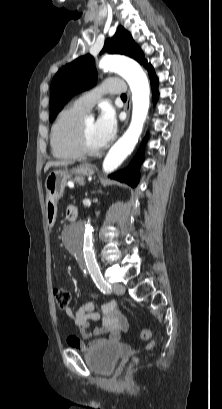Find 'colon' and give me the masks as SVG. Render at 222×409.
I'll use <instances>...</instances> for the list:
<instances>
[{
  "mask_svg": "<svg viewBox=\"0 0 222 409\" xmlns=\"http://www.w3.org/2000/svg\"><path fill=\"white\" fill-rule=\"evenodd\" d=\"M54 297H55L56 304L60 309H66L68 307L69 302H70V293L68 291L61 289V288H56L54 289ZM150 336H151V332L148 328H144L140 333V337L143 340H148ZM154 345H155V340H152L149 343L148 348L152 349ZM137 363H138V359L134 357L130 361V366H134Z\"/></svg>",
  "mask_w": 222,
  "mask_h": 409,
  "instance_id": "colon-1",
  "label": "colon"
}]
</instances>
